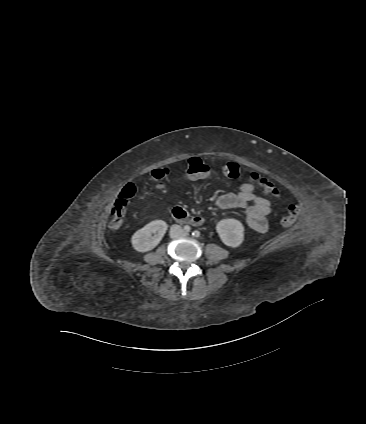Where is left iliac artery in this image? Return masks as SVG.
<instances>
[{
	"instance_id": "obj_1",
	"label": "left iliac artery",
	"mask_w": 366,
	"mask_h": 424,
	"mask_svg": "<svg viewBox=\"0 0 366 424\" xmlns=\"http://www.w3.org/2000/svg\"><path fill=\"white\" fill-rule=\"evenodd\" d=\"M192 235H193L194 237H200V232H199V231H197V230H195V231H193V232H192Z\"/></svg>"
}]
</instances>
